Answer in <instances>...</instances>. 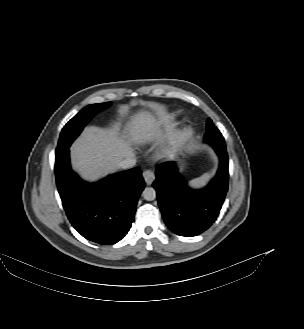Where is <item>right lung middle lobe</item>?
Segmentation results:
<instances>
[{
    "mask_svg": "<svg viewBox=\"0 0 304 329\" xmlns=\"http://www.w3.org/2000/svg\"><path fill=\"white\" fill-rule=\"evenodd\" d=\"M110 102L93 104L84 107L76 116H74L62 129L56 155L67 150L71 143L81 133L85 125L100 111L108 108Z\"/></svg>",
    "mask_w": 304,
    "mask_h": 329,
    "instance_id": "dd1d6c3e",
    "label": "right lung middle lobe"
}]
</instances>
